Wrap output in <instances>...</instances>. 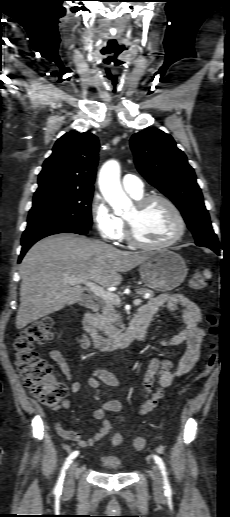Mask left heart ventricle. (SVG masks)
Listing matches in <instances>:
<instances>
[{
  "mask_svg": "<svg viewBox=\"0 0 230 517\" xmlns=\"http://www.w3.org/2000/svg\"><path fill=\"white\" fill-rule=\"evenodd\" d=\"M125 218L133 223L137 236L147 243L167 241L178 229L174 214L161 201H154L142 210L133 206Z\"/></svg>",
  "mask_w": 230,
  "mask_h": 517,
  "instance_id": "1",
  "label": "left heart ventricle"
}]
</instances>
